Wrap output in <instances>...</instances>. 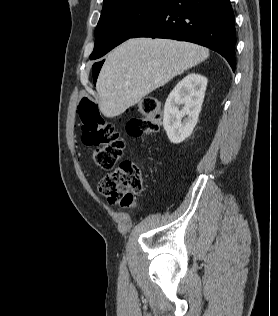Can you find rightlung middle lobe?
I'll list each match as a JSON object with an SVG mask.
<instances>
[{
    "instance_id": "dd1d6c3e",
    "label": "right lung middle lobe",
    "mask_w": 278,
    "mask_h": 316,
    "mask_svg": "<svg viewBox=\"0 0 278 316\" xmlns=\"http://www.w3.org/2000/svg\"><path fill=\"white\" fill-rule=\"evenodd\" d=\"M167 0H108L95 30V46L90 59L102 57L132 38L162 8ZM98 72L93 69V75Z\"/></svg>"
}]
</instances>
